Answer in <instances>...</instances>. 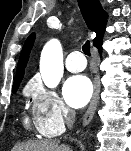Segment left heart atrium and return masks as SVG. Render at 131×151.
Masks as SVG:
<instances>
[{"mask_svg": "<svg viewBox=\"0 0 131 151\" xmlns=\"http://www.w3.org/2000/svg\"><path fill=\"white\" fill-rule=\"evenodd\" d=\"M93 86L84 75L70 77L64 84L63 95L67 104L73 108H82L90 100Z\"/></svg>", "mask_w": 131, "mask_h": 151, "instance_id": "1", "label": "left heart atrium"}]
</instances>
